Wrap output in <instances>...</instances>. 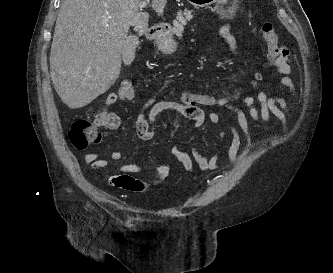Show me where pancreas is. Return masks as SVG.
<instances>
[{
    "mask_svg": "<svg viewBox=\"0 0 333 273\" xmlns=\"http://www.w3.org/2000/svg\"><path fill=\"white\" fill-rule=\"evenodd\" d=\"M193 18L192 11L185 9L183 12L179 11L176 20L173 21L172 33L180 36L184 32V26L187 21Z\"/></svg>",
    "mask_w": 333,
    "mask_h": 273,
    "instance_id": "pancreas-1",
    "label": "pancreas"
}]
</instances>
